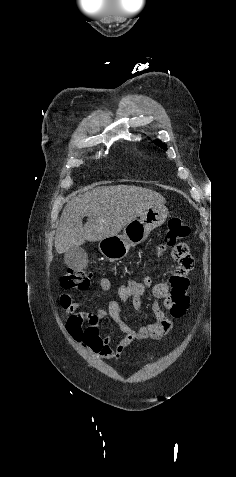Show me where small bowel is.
Returning a JSON list of instances; mask_svg holds the SVG:
<instances>
[{
  "label": "small bowel",
  "mask_w": 236,
  "mask_h": 477,
  "mask_svg": "<svg viewBox=\"0 0 236 477\" xmlns=\"http://www.w3.org/2000/svg\"><path fill=\"white\" fill-rule=\"evenodd\" d=\"M175 260L179 265L169 283L154 284L153 278L146 276L141 282L127 280L118 286L117 295L121 302L130 304L135 310L141 309L146 289L152 288L156 301L152 304L151 311L155 320L141 325L137 330L124 321L121 304L116 300H110L106 307L97 311H83L69 294H63L60 305L68 315L66 330L70 337L101 358L119 361L132 342L146 339L158 341L168 335L174 326L172 318H183L190 302L187 274L192 270L193 258L189 253L188 256ZM99 286L103 292L108 293L112 283L110 279L103 277ZM159 300L170 316L165 313ZM106 318L114 320L124 334L116 347L111 346V336L100 335V321Z\"/></svg>",
  "instance_id": "small-bowel-1"
}]
</instances>
